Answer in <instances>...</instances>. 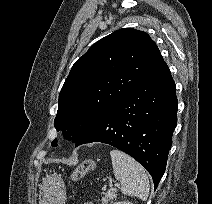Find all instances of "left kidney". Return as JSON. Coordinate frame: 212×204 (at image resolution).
<instances>
[{
	"instance_id": "5707ae66",
	"label": "left kidney",
	"mask_w": 212,
	"mask_h": 204,
	"mask_svg": "<svg viewBox=\"0 0 212 204\" xmlns=\"http://www.w3.org/2000/svg\"><path fill=\"white\" fill-rule=\"evenodd\" d=\"M114 204H132V203L128 201H122V202H116Z\"/></svg>"
}]
</instances>
